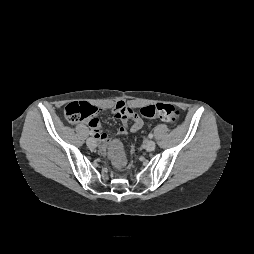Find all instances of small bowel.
Masks as SVG:
<instances>
[{
  "mask_svg": "<svg viewBox=\"0 0 254 254\" xmlns=\"http://www.w3.org/2000/svg\"><path fill=\"white\" fill-rule=\"evenodd\" d=\"M113 113L115 117L121 121V126L118 129L119 135L127 134L130 122V132L135 133L142 129L143 120L124 101H118L114 105ZM89 126L92 129V133L100 143V150L105 151L112 144V142L109 136L103 132L99 119L94 118L91 122H89Z\"/></svg>",
  "mask_w": 254,
  "mask_h": 254,
  "instance_id": "c3829d8e",
  "label": "small bowel"
}]
</instances>
